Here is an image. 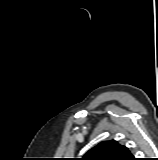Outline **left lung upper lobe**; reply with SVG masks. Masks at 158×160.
<instances>
[{"label":"left lung upper lobe","instance_id":"1","mask_svg":"<svg viewBox=\"0 0 158 160\" xmlns=\"http://www.w3.org/2000/svg\"><path fill=\"white\" fill-rule=\"evenodd\" d=\"M129 149L115 140L103 141L90 149L80 160H133Z\"/></svg>","mask_w":158,"mask_h":160}]
</instances>
